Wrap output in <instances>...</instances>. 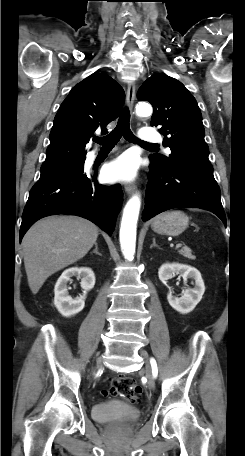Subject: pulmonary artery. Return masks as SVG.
<instances>
[{"label":"pulmonary artery","mask_w":245,"mask_h":456,"mask_svg":"<svg viewBox=\"0 0 245 456\" xmlns=\"http://www.w3.org/2000/svg\"><path fill=\"white\" fill-rule=\"evenodd\" d=\"M140 139L143 142H160L161 136L160 134L152 128H142L140 131ZM167 152H170L169 149H166Z\"/></svg>","instance_id":"e3ab8cb5"}]
</instances>
